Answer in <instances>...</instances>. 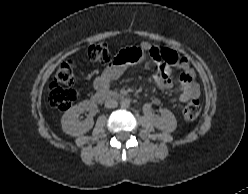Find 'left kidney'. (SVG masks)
I'll return each mask as SVG.
<instances>
[{
    "instance_id": "1",
    "label": "left kidney",
    "mask_w": 248,
    "mask_h": 194,
    "mask_svg": "<svg viewBox=\"0 0 248 194\" xmlns=\"http://www.w3.org/2000/svg\"><path fill=\"white\" fill-rule=\"evenodd\" d=\"M153 125L166 133H171L176 129L177 122L175 116L169 110H164L161 116H155Z\"/></svg>"
}]
</instances>
